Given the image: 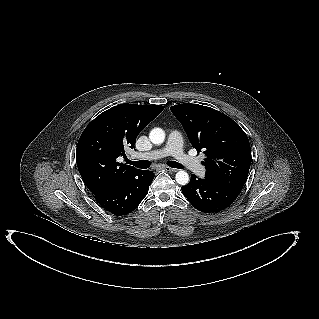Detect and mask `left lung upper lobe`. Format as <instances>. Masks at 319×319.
<instances>
[{
	"instance_id": "5c2ea615",
	"label": "left lung upper lobe",
	"mask_w": 319,
	"mask_h": 319,
	"mask_svg": "<svg viewBox=\"0 0 319 319\" xmlns=\"http://www.w3.org/2000/svg\"><path fill=\"white\" fill-rule=\"evenodd\" d=\"M171 111L199 152L204 150L205 178L241 192L251 163L250 144L241 127L225 114L198 104H179Z\"/></svg>"
}]
</instances>
